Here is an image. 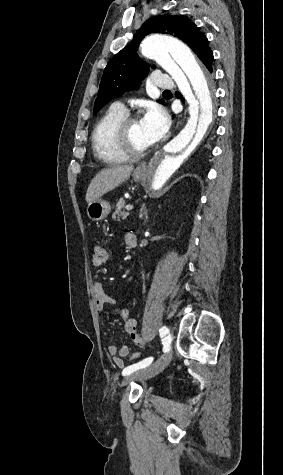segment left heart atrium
Instances as JSON below:
<instances>
[{
	"label": "left heart atrium",
	"instance_id": "39dd6f15",
	"mask_svg": "<svg viewBox=\"0 0 283 475\" xmlns=\"http://www.w3.org/2000/svg\"><path fill=\"white\" fill-rule=\"evenodd\" d=\"M141 121L146 129L145 135L152 143L161 140L166 135L170 125L168 115L156 104H152L146 109Z\"/></svg>",
	"mask_w": 283,
	"mask_h": 475
}]
</instances>
